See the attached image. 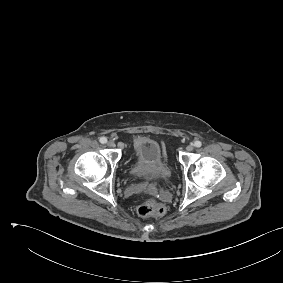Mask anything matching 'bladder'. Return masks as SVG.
<instances>
[{"label": "bladder", "instance_id": "1", "mask_svg": "<svg viewBox=\"0 0 283 283\" xmlns=\"http://www.w3.org/2000/svg\"><path fill=\"white\" fill-rule=\"evenodd\" d=\"M131 174L135 178H165L170 174V165L162 160L161 146L154 140L135 143Z\"/></svg>", "mask_w": 283, "mask_h": 283}]
</instances>
